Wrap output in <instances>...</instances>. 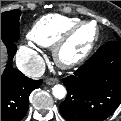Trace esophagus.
I'll return each instance as SVG.
<instances>
[{"label": "esophagus", "mask_w": 121, "mask_h": 121, "mask_svg": "<svg viewBox=\"0 0 121 121\" xmlns=\"http://www.w3.org/2000/svg\"><path fill=\"white\" fill-rule=\"evenodd\" d=\"M59 82V80L57 79V78H48L47 80H46V83L48 84V85H54V84H56V83H58Z\"/></svg>", "instance_id": "esophagus-1"}]
</instances>
